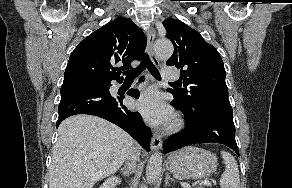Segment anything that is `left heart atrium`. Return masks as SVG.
I'll list each match as a JSON object with an SVG mask.
<instances>
[{"label": "left heart atrium", "mask_w": 292, "mask_h": 188, "mask_svg": "<svg viewBox=\"0 0 292 188\" xmlns=\"http://www.w3.org/2000/svg\"><path fill=\"white\" fill-rule=\"evenodd\" d=\"M135 107L151 125H164L172 119V110L161 101L160 95L153 90L145 92L136 102Z\"/></svg>", "instance_id": "obj_1"}]
</instances>
